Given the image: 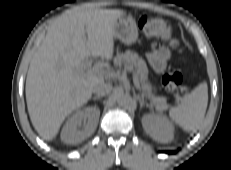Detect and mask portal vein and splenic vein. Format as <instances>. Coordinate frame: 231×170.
Here are the masks:
<instances>
[{"instance_id": "portal-vein-and-splenic-vein-1", "label": "portal vein and splenic vein", "mask_w": 231, "mask_h": 170, "mask_svg": "<svg viewBox=\"0 0 231 170\" xmlns=\"http://www.w3.org/2000/svg\"><path fill=\"white\" fill-rule=\"evenodd\" d=\"M92 63H93L92 60H86L85 66H86V67H91V66H92ZM126 69H127L128 71L132 72L135 86H136L137 88H139L138 78H137V75H136V73H135L133 67H130V66H129V67H127Z\"/></svg>"}]
</instances>
